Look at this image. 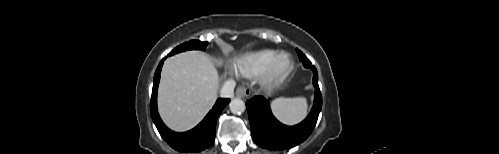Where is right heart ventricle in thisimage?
<instances>
[{
  "label": "right heart ventricle",
  "instance_id": "right-heart-ventricle-1",
  "mask_svg": "<svg viewBox=\"0 0 499 154\" xmlns=\"http://www.w3.org/2000/svg\"><path fill=\"white\" fill-rule=\"evenodd\" d=\"M277 54V51L271 49L255 50L239 55L233 64L241 75L253 78L261 76Z\"/></svg>",
  "mask_w": 499,
  "mask_h": 154
}]
</instances>
